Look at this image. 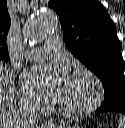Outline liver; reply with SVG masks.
I'll return each mask as SVG.
<instances>
[{"instance_id":"6515ba94","label":"liver","mask_w":125,"mask_h":128,"mask_svg":"<svg viewBox=\"0 0 125 128\" xmlns=\"http://www.w3.org/2000/svg\"><path fill=\"white\" fill-rule=\"evenodd\" d=\"M23 118L15 104V88L12 78L0 63V128H20Z\"/></svg>"}]
</instances>
